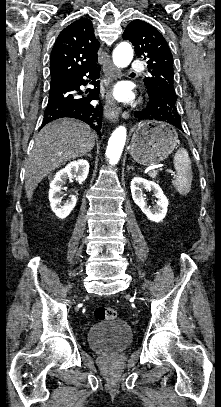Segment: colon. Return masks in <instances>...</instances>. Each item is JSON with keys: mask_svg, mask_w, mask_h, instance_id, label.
<instances>
[{"mask_svg": "<svg viewBox=\"0 0 221 407\" xmlns=\"http://www.w3.org/2000/svg\"><path fill=\"white\" fill-rule=\"evenodd\" d=\"M116 315V311L113 308L105 306H98L94 310V317L98 321L114 320Z\"/></svg>", "mask_w": 221, "mask_h": 407, "instance_id": "5ec220e1", "label": "colon"}]
</instances>
